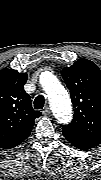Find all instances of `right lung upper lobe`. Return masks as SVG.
Wrapping results in <instances>:
<instances>
[{
  "mask_svg": "<svg viewBox=\"0 0 101 180\" xmlns=\"http://www.w3.org/2000/svg\"><path fill=\"white\" fill-rule=\"evenodd\" d=\"M26 73L13 69L0 72V147L13 148L31 133L34 119L41 115L34 111L30 96L24 91Z\"/></svg>",
  "mask_w": 101,
  "mask_h": 180,
  "instance_id": "cb5924a9",
  "label": "right lung upper lobe"
}]
</instances>
